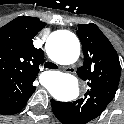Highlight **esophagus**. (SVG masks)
I'll return each instance as SVG.
<instances>
[{
	"mask_svg": "<svg viewBox=\"0 0 124 124\" xmlns=\"http://www.w3.org/2000/svg\"><path fill=\"white\" fill-rule=\"evenodd\" d=\"M62 70L64 72L73 73L75 71V68L72 66H69V67H63Z\"/></svg>",
	"mask_w": 124,
	"mask_h": 124,
	"instance_id": "esophagus-1",
	"label": "esophagus"
}]
</instances>
